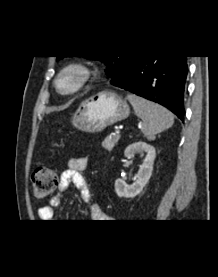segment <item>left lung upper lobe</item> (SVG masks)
Returning a JSON list of instances; mask_svg holds the SVG:
<instances>
[{"mask_svg": "<svg viewBox=\"0 0 218 277\" xmlns=\"http://www.w3.org/2000/svg\"><path fill=\"white\" fill-rule=\"evenodd\" d=\"M91 59H97L102 62H105L107 65L106 74L109 78H112L114 75L122 72L128 62L131 60L133 56L131 55H124V56H86ZM63 57L58 56L57 59Z\"/></svg>", "mask_w": 218, "mask_h": 277, "instance_id": "1", "label": "left lung upper lobe"}]
</instances>
